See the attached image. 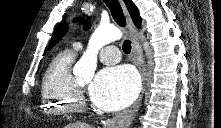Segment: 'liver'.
<instances>
[{"mask_svg":"<svg viewBox=\"0 0 221 128\" xmlns=\"http://www.w3.org/2000/svg\"><path fill=\"white\" fill-rule=\"evenodd\" d=\"M65 128H91V126L86 123L77 122V123L69 124Z\"/></svg>","mask_w":221,"mask_h":128,"instance_id":"obj_1","label":"liver"}]
</instances>
